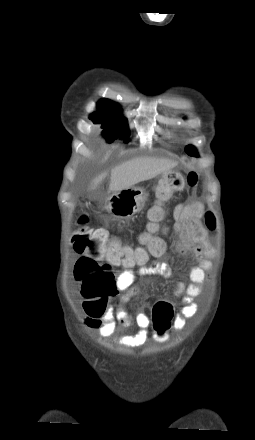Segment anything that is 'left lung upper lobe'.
Segmentation results:
<instances>
[{
	"label": "left lung upper lobe",
	"mask_w": 255,
	"mask_h": 440,
	"mask_svg": "<svg viewBox=\"0 0 255 440\" xmlns=\"http://www.w3.org/2000/svg\"><path fill=\"white\" fill-rule=\"evenodd\" d=\"M185 152L190 156L198 157V153H197L195 147L192 145L187 146L185 149Z\"/></svg>",
	"instance_id": "1"
}]
</instances>
